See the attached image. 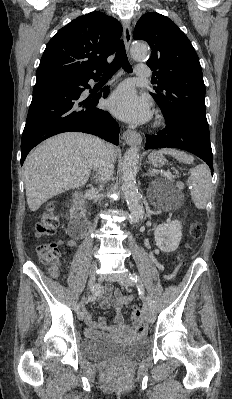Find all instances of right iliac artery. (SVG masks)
Wrapping results in <instances>:
<instances>
[{
    "mask_svg": "<svg viewBox=\"0 0 232 399\" xmlns=\"http://www.w3.org/2000/svg\"><path fill=\"white\" fill-rule=\"evenodd\" d=\"M94 299H95V295H94V294L88 295V300L92 301V300H94ZM74 310H75L76 313L79 312V310H80L79 304H76V305H75Z\"/></svg>",
    "mask_w": 232,
    "mask_h": 399,
    "instance_id": "obj_1",
    "label": "right iliac artery"
}]
</instances>
